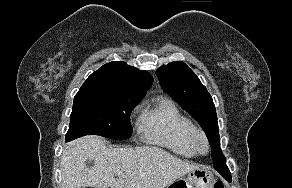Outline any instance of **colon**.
Masks as SVG:
<instances>
[{"instance_id":"1","label":"colon","mask_w":292,"mask_h":188,"mask_svg":"<svg viewBox=\"0 0 292 188\" xmlns=\"http://www.w3.org/2000/svg\"><path fill=\"white\" fill-rule=\"evenodd\" d=\"M214 188H225L224 183L221 180H218L215 185Z\"/></svg>"}]
</instances>
